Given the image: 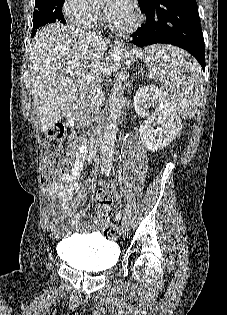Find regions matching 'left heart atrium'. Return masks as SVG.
Wrapping results in <instances>:
<instances>
[{
    "mask_svg": "<svg viewBox=\"0 0 227 315\" xmlns=\"http://www.w3.org/2000/svg\"><path fill=\"white\" fill-rule=\"evenodd\" d=\"M132 0H109L105 7V14L109 21L124 19L132 14Z\"/></svg>",
    "mask_w": 227,
    "mask_h": 315,
    "instance_id": "left-heart-atrium-1",
    "label": "left heart atrium"
}]
</instances>
